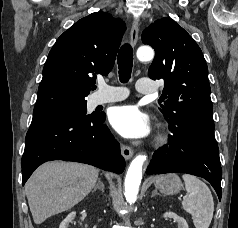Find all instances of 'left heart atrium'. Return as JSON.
Listing matches in <instances>:
<instances>
[{"label": "left heart atrium", "mask_w": 238, "mask_h": 228, "mask_svg": "<svg viewBox=\"0 0 238 228\" xmlns=\"http://www.w3.org/2000/svg\"><path fill=\"white\" fill-rule=\"evenodd\" d=\"M109 119L113 128L125 138H143L151 131L148 115L133 105L113 108Z\"/></svg>", "instance_id": "39dd6f15"}]
</instances>
